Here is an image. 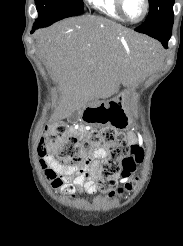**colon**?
I'll use <instances>...</instances> for the list:
<instances>
[{"label": "colon", "mask_w": 183, "mask_h": 246, "mask_svg": "<svg viewBox=\"0 0 183 246\" xmlns=\"http://www.w3.org/2000/svg\"><path fill=\"white\" fill-rule=\"evenodd\" d=\"M90 122L111 123L101 130H93L80 141L70 133L63 123H55L41 132L38 152L42 158L54 155L58 162L75 169H84L90 162L88 152L94 147L103 145L108 155L103 161L96 186L100 192L108 197L122 195L132 189V183L120 186L118 180L129 179L137 163L143 159V150L138 145L128 144L126 136L117 130L125 122L119 113H110L105 106H99L87 112ZM43 169L48 168L42 159Z\"/></svg>", "instance_id": "1"}]
</instances>
